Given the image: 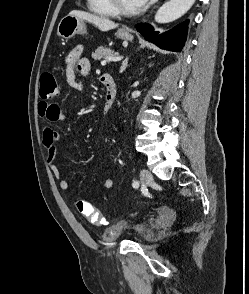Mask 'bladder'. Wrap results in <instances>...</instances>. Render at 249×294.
<instances>
[{
    "label": "bladder",
    "instance_id": "31cf9c89",
    "mask_svg": "<svg viewBox=\"0 0 249 294\" xmlns=\"http://www.w3.org/2000/svg\"><path fill=\"white\" fill-rule=\"evenodd\" d=\"M152 220L150 218L144 219L141 223L133 227V230L138 234L140 239H146L149 236L151 230ZM126 229L116 230L115 226L108 228L102 234V240L104 242H114L122 235Z\"/></svg>",
    "mask_w": 249,
    "mask_h": 294
}]
</instances>
